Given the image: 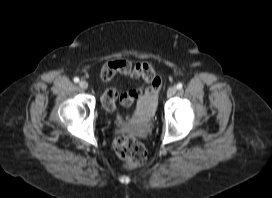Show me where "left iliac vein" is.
I'll list each match as a JSON object with an SVG mask.
<instances>
[{"label": "left iliac vein", "mask_w": 272, "mask_h": 198, "mask_svg": "<svg viewBox=\"0 0 272 198\" xmlns=\"http://www.w3.org/2000/svg\"><path fill=\"white\" fill-rule=\"evenodd\" d=\"M177 92V87L172 86L168 89L167 91V96L168 97H172L173 95H175V93Z\"/></svg>", "instance_id": "obj_1"}]
</instances>
